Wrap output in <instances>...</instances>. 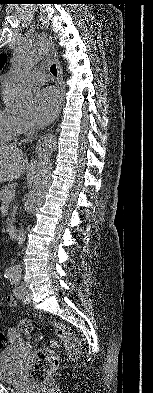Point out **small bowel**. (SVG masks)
<instances>
[{"label":"small bowel","mask_w":153,"mask_h":393,"mask_svg":"<svg viewBox=\"0 0 153 393\" xmlns=\"http://www.w3.org/2000/svg\"><path fill=\"white\" fill-rule=\"evenodd\" d=\"M6 302H7V305L10 306V307H15L17 305V300L12 295H7L6 296ZM0 314H1V310H0Z\"/></svg>","instance_id":"obj_1"}]
</instances>
